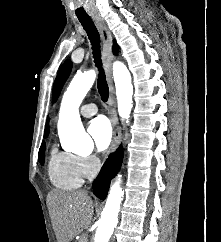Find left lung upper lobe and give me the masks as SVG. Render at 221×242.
I'll return each instance as SVG.
<instances>
[{"instance_id": "obj_1", "label": "left lung upper lobe", "mask_w": 221, "mask_h": 242, "mask_svg": "<svg viewBox=\"0 0 221 242\" xmlns=\"http://www.w3.org/2000/svg\"><path fill=\"white\" fill-rule=\"evenodd\" d=\"M116 48L118 49L117 44L114 42ZM72 68V62L71 60H66L64 62V64L62 65V67L59 70V73L57 75V78L54 82V86H53V102L56 101V99L59 96V93L66 81V79L68 78L70 71Z\"/></svg>"}]
</instances>
